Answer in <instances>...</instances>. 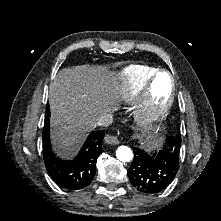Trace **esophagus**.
Listing matches in <instances>:
<instances>
[{
  "label": "esophagus",
  "mask_w": 221,
  "mask_h": 221,
  "mask_svg": "<svg viewBox=\"0 0 221 221\" xmlns=\"http://www.w3.org/2000/svg\"><path fill=\"white\" fill-rule=\"evenodd\" d=\"M105 142L107 144H112V145L119 144V140H118L117 136H113V135H109V134H107L105 136Z\"/></svg>",
  "instance_id": "obj_1"
}]
</instances>
